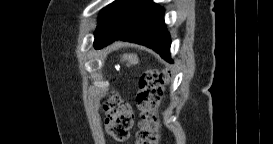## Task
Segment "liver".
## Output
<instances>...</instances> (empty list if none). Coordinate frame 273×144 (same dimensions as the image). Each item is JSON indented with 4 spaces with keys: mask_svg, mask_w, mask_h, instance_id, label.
I'll return each mask as SVG.
<instances>
[{
    "mask_svg": "<svg viewBox=\"0 0 273 144\" xmlns=\"http://www.w3.org/2000/svg\"><path fill=\"white\" fill-rule=\"evenodd\" d=\"M121 62H127V67L136 65L139 62L138 56L132 53H126L121 56Z\"/></svg>",
    "mask_w": 273,
    "mask_h": 144,
    "instance_id": "obj_1",
    "label": "liver"
}]
</instances>
